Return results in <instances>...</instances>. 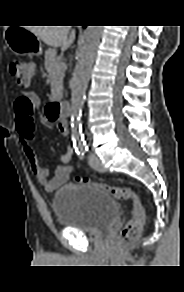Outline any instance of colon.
<instances>
[{
	"label": "colon",
	"instance_id": "colon-1",
	"mask_svg": "<svg viewBox=\"0 0 184 292\" xmlns=\"http://www.w3.org/2000/svg\"><path fill=\"white\" fill-rule=\"evenodd\" d=\"M9 70L15 78L18 87L27 88L34 77L36 67L33 63L22 59H13L10 62ZM15 114L18 127L25 133L34 129V119L38 108V100L30 93L21 94L15 101ZM87 182V180H85ZM105 190L112 196L121 200L132 201V217L120 232V243L128 245L139 237L146 220L145 208L140 195L130 187H114L107 184H94Z\"/></svg>",
	"mask_w": 184,
	"mask_h": 292
}]
</instances>
